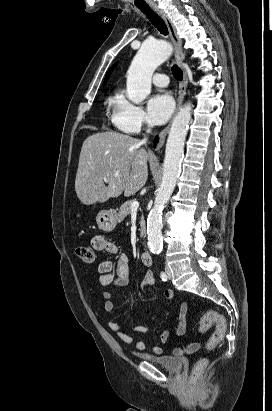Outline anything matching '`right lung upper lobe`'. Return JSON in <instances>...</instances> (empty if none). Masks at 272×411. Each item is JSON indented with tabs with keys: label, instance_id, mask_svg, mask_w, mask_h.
<instances>
[{
	"label": "right lung upper lobe",
	"instance_id": "obj_1",
	"mask_svg": "<svg viewBox=\"0 0 272 411\" xmlns=\"http://www.w3.org/2000/svg\"><path fill=\"white\" fill-rule=\"evenodd\" d=\"M116 65H117V63H115V64L108 70V72H107V74H106V76H105L104 83H103L104 85L106 84L107 80H108L109 77H110L111 72L113 71L114 67H116Z\"/></svg>",
	"mask_w": 272,
	"mask_h": 411
}]
</instances>
